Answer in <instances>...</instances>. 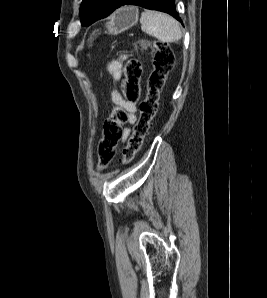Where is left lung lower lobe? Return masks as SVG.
Returning a JSON list of instances; mask_svg holds the SVG:
<instances>
[{
  "mask_svg": "<svg viewBox=\"0 0 267 298\" xmlns=\"http://www.w3.org/2000/svg\"><path fill=\"white\" fill-rule=\"evenodd\" d=\"M122 5H137L144 7L146 9L158 10L162 12H166L173 17H175L178 21L180 18L176 14L175 9V0H115L114 4L111 6L110 10L104 14H99L93 17L91 21H88L86 26L91 25L95 21L105 18L110 15L114 10L119 8Z\"/></svg>",
  "mask_w": 267,
  "mask_h": 298,
  "instance_id": "1",
  "label": "left lung lower lobe"
}]
</instances>
